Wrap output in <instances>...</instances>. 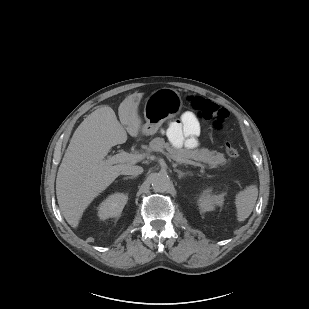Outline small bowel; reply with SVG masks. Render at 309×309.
<instances>
[{"label": "small bowel", "instance_id": "small-bowel-1", "mask_svg": "<svg viewBox=\"0 0 309 309\" xmlns=\"http://www.w3.org/2000/svg\"><path fill=\"white\" fill-rule=\"evenodd\" d=\"M199 130L198 120L193 113L187 111L182 114L179 121L170 123L168 136L173 145L177 147L185 145V147L192 149L197 146Z\"/></svg>", "mask_w": 309, "mask_h": 309}]
</instances>
